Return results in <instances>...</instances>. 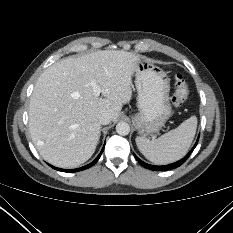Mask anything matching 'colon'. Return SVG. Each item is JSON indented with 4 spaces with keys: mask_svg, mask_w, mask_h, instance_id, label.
<instances>
[{
    "mask_svg": "<svg viewBox=\"0 0 233 233\" xmlns=\"http://www.w3.org/2000/svg\"><path fill=\"white\" fill-rule=\"evenodd\" d=\"M175 90L172 96V105L180 108L188 101L189 84L182 74H176L174 78Z\"/></svg>",
    "mask_w": 233,
    "mask_h": 233,
    "instance_id": "colon-1",
    "label": "colon"
}]
</instances>
